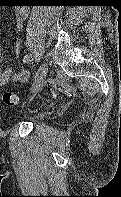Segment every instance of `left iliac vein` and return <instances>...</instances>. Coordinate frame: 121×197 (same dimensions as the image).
<instances>
[{
	"label": "left iliac vein",
	"mask_w": 121,
	"mask_h": 197,
	"mask_svg": "<svg viewBox=\"0 0 121 197\" xmlns=\"http://www.w3.org/2000/svg\"><path fill=\"white\" fill-rule=\"evenodd\" d=\"M48 68H49L48 63H44L37 70L36 75L33 80L32 87H31V92L33 94L37 93L38 90L40 89V87L42 86V84L47 76Z\"/></svg>",
	"instance_id": "4c4485c4"
}]
</instances>
